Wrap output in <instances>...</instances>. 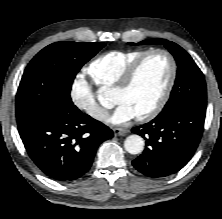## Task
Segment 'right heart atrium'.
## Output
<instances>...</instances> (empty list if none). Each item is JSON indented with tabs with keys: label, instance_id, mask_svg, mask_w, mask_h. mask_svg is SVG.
I'll use <instances>...</instances> for the list:
<instances>
[{
	"label": "right heart atrium",
	"instance_id": "right-heart-atrium-1",
	"mask_svg": "<svg viewBox=\"0 0 222 219\" xmlns=\"http://www.w3.org/2000/svg\"><path fill=\"white\" fill-rule=\"evenodd\" d=\"M69 96L72 104L96 121H103L107 111L96 100L90 84L83 75H76L70 85Z\"/></svg>",
	"mask_w": 222,
	"mask_h": 219
}]
</instances>
